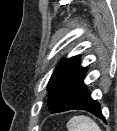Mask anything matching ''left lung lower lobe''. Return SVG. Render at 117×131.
I'll return each mask as SVG.
<instances>
[{
	"label": "left lung lower lobe",
	"instance_id": "0a47b994",
	"mask_svg": "<svg viewBox=\"0 0 117 131\" xmlns=\"http://www.w3.org/2000/svg\"><path fill=\"white\" fill-rule=\"evenodd\" d=\"M70 95L72 103L67 106L65 111L74 109L85 110L94 114L96 117L105 120L101 112L100 104L91 98L90 92L87 91L85 87L81 90H74Z\"/></svg>",
	"mask_w": 117,
	"mask_h": 131
}]
</instances>
